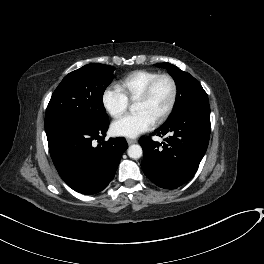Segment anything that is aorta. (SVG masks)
<instances>
[{"mask_svg": "<svg viewBox=\"0 0 264 264\" xmlns=\"http://www.w3.org/2000/svg\"><path fill=\"white\" fill-rule=\"evenodd\" d=\"M127 152L128 156L132 159H139L142 156V148L137 144L129 146Z\"/></svg>", "mask_w": 264, "mask_h": 264, "instance_id": "762f6f07", "label": "aorta"}]
</instances>
